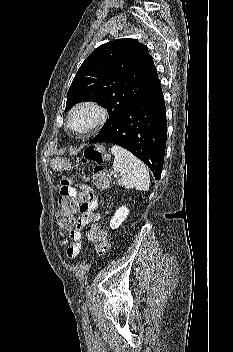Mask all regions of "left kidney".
<instances>
[{
    "label": "left kidney",
    "mask_w": 233,
    "mask_h": 352,
    "mask_svg": "<svg viewBox=\"0 0 233 352\" xmlns=\"http://www.w3.org/2000/svg\"><path fill=\"white\" fill-rule=\"evenodd\" d=\"M129 214V209L126 206H122L115 212L114 216L110 221V227L112 229H117L122 222L127 218Z\"/></svg>",
    "instance_id": "left-kidney-1"
}]
</instances>
